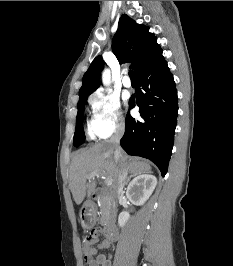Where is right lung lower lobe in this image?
Wrapping results in <instances>:
<instances>
[{"label":"right lung lower lobe","mask_w":233,"mask_h":266,"mask_svg":"<svg viewBox=\"0 0 233 266\" xmlns=\"http://www.w3.org/2000/svg\"><path fill=\"white\" fill-rule=\"evenodd\" d=\"M136 76L138 88L129 105L130 108L139 106L141 119L127 114L125 134L120 143L129 155L153 161L164 176L172 154L177 123L175 82L162 55Z\"/></svg>","instance_id":"obj_1"}]
</instances>
